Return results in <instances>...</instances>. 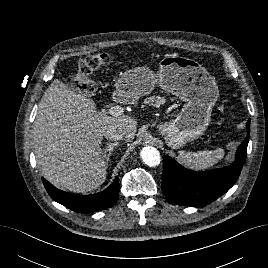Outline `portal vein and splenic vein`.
Here are the masks:
<instances>
[{
    "instance_id": "portal-vein-and-splenic-vein-1",
    "label": "portal vein and splenic vein",
    "mask_w": 268,
    "mask_h": 268,
    "mask_svg": "<svg viewBox=\"0 0 268 268\" xmlns=\"http://www.w3.org/2000/svg\"><path fill=\"white\" fill-rule=\"evenodd\" d=\"M109 114L116 117L121 116L124 113V108L121 106H112L109 110Z\"/></svg>"
}]
</instances>
